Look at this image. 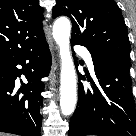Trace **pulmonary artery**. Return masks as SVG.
I'll return each mask as SVG.
<instances>
[{
	"label": "pulmonary artery",
	"instance_id": "1",
	"mask_svg": "<svg viewBox=\"0 0 136 136\" xmlns=\"http://www.w3.org/2000/svg\"><path fill=\"white\" fill-rule=\"evenodd\" d=\"M75 51L80 53L86 60L88 66L93 69L94 65H93V61H92V56L90 54V52L83 46H75Z\"/></svg>",
	"mask_w": 136,
	"mask_h": 136
}]
</instances>
